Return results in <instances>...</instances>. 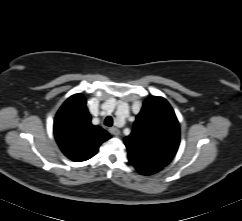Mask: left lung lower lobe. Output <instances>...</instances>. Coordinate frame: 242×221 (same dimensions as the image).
<instances>
[{"instance_id":"obj_1","label":"left lung lower lobe","mask_w":242,"mask_h":221,"mask_svg":"<svg viewBox=\"0 0 242 221\" xmlns=\"http://www.w3.org/2000/svg\"><path fill=\"white\" fill-rule=\"evenodd\" d=\"M136 170L142 175H152L160 171L163 166L140 162L137 160H129Z\"/></svg>"}]
</instances>
